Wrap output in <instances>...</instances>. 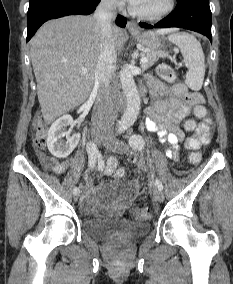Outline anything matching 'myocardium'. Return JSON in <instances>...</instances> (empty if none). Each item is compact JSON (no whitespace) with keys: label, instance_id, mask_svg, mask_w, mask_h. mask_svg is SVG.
Segmentation results:
<instances>
[{"label":"myocardium","instance_id":"1","mask_svg":"<svg viewBox=\"0 0 233 284\" xmlns=\"http://www.w3.org/2000/svg\"><path fill=\"white\" fill-rule=\"evenodd\" d=\"M175 4H176L175 0H167L166 6L160 11L155 12V13H145V12L139 11L134 6H131L130 11L133 15H135L136 17L142 20L156 21V20L162 19L166 17L167 15H169L174 10Z\"/></svg>","mask_w":233,"mask_h":284}]
</instances>
